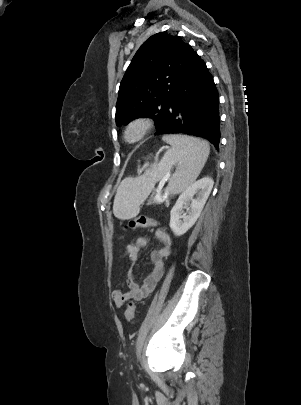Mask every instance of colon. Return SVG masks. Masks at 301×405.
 <instances>
[{
  "instance_id": "obj_1",
  "label": "colon",
  "mask_w": 301,
  "mask_h": 405,
  "mask_svg": "<svg viewBox=\"0 0 301 405\" xmlns=\"http://www.w3.org/2000/svg\"><path fill=\"white\" fill-rule=\"evenodd\" d=\"M158 223L145 216H141L135 219L130 220L126 225V229H135V228H151L156 227ZM120 240V239H119ZM136 312V305L133 301H129L125 310V319L128 322H131L134 318Z\"/></svg>"
}]
</instances>
